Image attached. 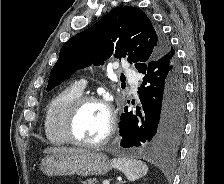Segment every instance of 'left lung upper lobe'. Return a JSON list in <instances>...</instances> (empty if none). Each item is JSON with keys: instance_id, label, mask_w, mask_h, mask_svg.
Listing matches in <instances>:
<instances>
[{"instance_id": "obj_1", "label": "left lung upper lobe", "mask_w": 224, "mask_h": 184, "mask_svg": "<svg viewBox=\"0 0 224 184\" xmlns=\"http://www.w3.org/2000/svg\"><path fill=\"white\" fill-rule=\"evenodd\" d=\"M170 46L153 27L147 15L136 7H118L85 31L71 37L61 48L51 70L47 91L77 69L99 65L113 50L118 59L128 55L137 70L162 57Z\"/></svg>"}]
</instances>
